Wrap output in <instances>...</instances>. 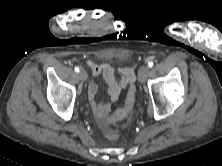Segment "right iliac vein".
<instances>
[{
  "instance_id": "obj_1",
  "label": "right iliac vein",
  "mask_w": 222,
  "mask_h": 166,
  "mask_svg": "<svg viewBox=\"0 0 222 166\" xmlns=\"http://www.w3.org/2000/svg\"><path fill=\"white\" fill-rule=\"evenodd\" d=\"M79 79L83 82L87 80V73L84 70L79 72Z\"/></svg>"
}]
</instances>
